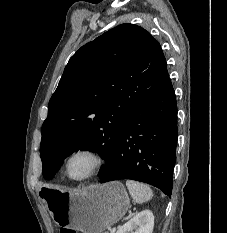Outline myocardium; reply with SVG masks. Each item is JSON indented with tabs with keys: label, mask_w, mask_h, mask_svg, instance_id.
Returning a JSON list of instances; mask_svg holds the SVG:
<instances>
[{
	"label": "myocardium",
	"mask_w": 227,
	"mask_h": 233,
	"mask_svg": "<svg viewBox=\"0 0 227 233\" xmlns=\"http://www.w3.org/2000/svg\"><path fill=\"white\" fill-rule=\"evenodd\" d=\"M78 155H88L93 160V165H92L91 170L85 176L80 177V178H74L70 174L69 166H70L71 160ZM105 162H106V159L103 153L99 149L92 147V146H83V147L75 149L66 157L65 163H64L65 174L72 181L83 182L96 176L104 167Z\"/></svg>",
	"instance_id": "1"
}]
</instances>
